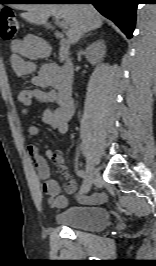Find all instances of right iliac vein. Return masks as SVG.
I'll list each match as a JSON object with an SVG mask.
<instances>
[{
  "instance_id": "obj_1",
  "label": "right iliac vein",
  "mask_w": 156,
  "mask_h": 266,
  "mask_svg": "<svg viewBox=\"0 0 156 266\" xmlns=\"http://www.w3.org/2000/svg\"><path fill=\"white\" fill-rule=\"evenodd\" d=\"M95 169L93 165L87 161L86 163V178H85V193L88 192L94 182L95 179Z\"/></svg>"
}]
</instances>
